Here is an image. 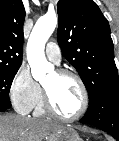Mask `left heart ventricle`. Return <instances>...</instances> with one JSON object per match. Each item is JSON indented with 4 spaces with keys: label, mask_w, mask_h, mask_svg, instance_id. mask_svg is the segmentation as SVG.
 Instances as JSON below:
<instances>
[{
    "label": "left heart ventricle",
    "mask_w": 119,
    "mask_h": 141,
    "mask_svg": "<svg viewBox=\"0 0 119 141\" xmlns=\"http://www.w3.org/2000/svg\"><path fill=\"white\" fill-rule=\"evenodd\" d=\"M54 107L63 115L76 114L82 105V92L75 79L54 71L43 82Z\"/></svg>",
    "instance_id": "b2bd125f"
}]
</instances>
